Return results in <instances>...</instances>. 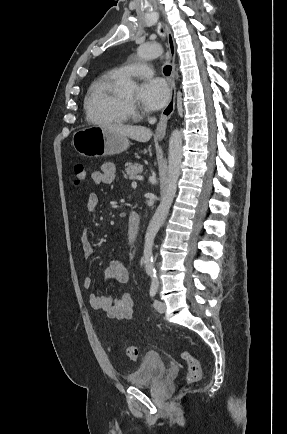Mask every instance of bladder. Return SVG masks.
I'll list each match as a JSON object with an SVG mask.
<instances>
[{"label": "bladder", "instance_id": "1", "mask_svg": "<svg viewBox=\"0 0 287 434\" xmlns=\"http://www.w3.org/2000/svg\"><path fill=\"white\" fill-rule=\"evenodd\" d=\"M168 370L166 361L158 353H148L138 368L130 373L126 381L134 387L149 386L163 377Z\"/></svg>", "mask_w": 287, "mask_h": 434}]
</instances>
